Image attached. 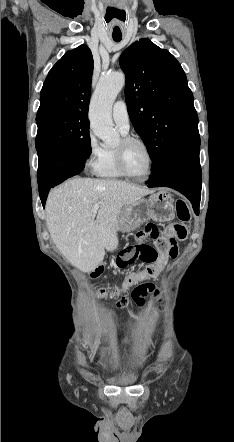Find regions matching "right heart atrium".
Here are the masks:
<instances>
[{
	"label": "right heart atrium",
	"instance_id": "obj_1",
	"mask_svg": "<svg viewBox=\"0 0 234 442\" xmlns=\"http://www.w3.org/2000/svg\"><path fill=\"white\" fill-rule=\"evenodd\" d=\"M104 156V147L100 144L95 134L89 130L87 135L86 168L90 172H97Z\"/></svg>",
	"mask_w": 234,
	"mask_h": 442
}]
</instances>
